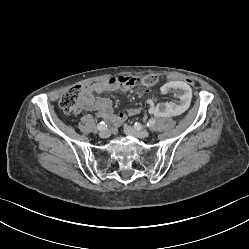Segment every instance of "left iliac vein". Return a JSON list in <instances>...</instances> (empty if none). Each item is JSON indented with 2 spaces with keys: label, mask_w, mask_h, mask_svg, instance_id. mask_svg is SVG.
<instances>
[{
  "label": "left iliac vein",
  "mask_w": 249,
  "mask_h": 249,
  "mask_svg": "<svg viewBox=\"0 0 249 249\" xmlns=\"http://www.w3.org/2000/svg\"><path fill=\"white\" fill-rule=\"evenodd\" d=\"M124 132L127 135L135 136L139 138H146L149 136V131L147 129L135 130L131 126H124Z\"/></svg>",
  "instance_id": "1"
}]
</instances>
